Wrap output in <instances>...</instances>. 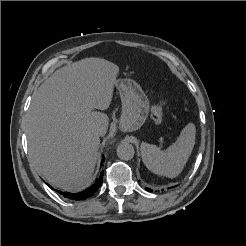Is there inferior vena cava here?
<instances>
[{"label":"inferior vena cava","instance_id":"602c4592","mask_svg":"<svg viewBox=\"0 0 246 246\" xmlns=\"http://www.w3.org/2000/svg\"><path fill=\"white\" fill-rule=\"evenodd\" d=\"M102 132H103V130L100 127H97L94 130V134L97 135V136H101Z\"/></svg>","mask_w":246,"mask_h":246}]
</instances>
